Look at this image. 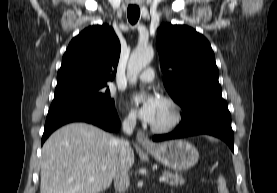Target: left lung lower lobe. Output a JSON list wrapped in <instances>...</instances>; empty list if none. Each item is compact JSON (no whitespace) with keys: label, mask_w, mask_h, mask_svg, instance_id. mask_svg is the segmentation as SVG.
<instances>
[{"label":"left lung lower lobe","mask_w":277,"mask_h":193,"mask_svg":"<svg viewBox=\"0 0 277 193\" xmlns=\"http://www.w3.org/2000/svg\"><path fill=\"white\" fill-rule=\"evenodd\" d=\"M198 134H208L224 140L233 151L234 133L231 128V115L226 101L208 98L197 102L182 115L178 128L163 135H155L153 141H164Z\"/></svg>","instance_id":"0a47b994"}]
</instances>
